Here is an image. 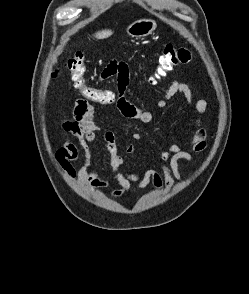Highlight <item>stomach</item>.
<instances>
[{
  "instance_id": "stomach-1",
  "label": "stomach",
  "mask_w": 249,
  "mask_h": 294,
  "mask_svg": "<svg viewBox=\"0 0 249 294\" xmlns=\"http://www.w3.org/2000/svg\"><path fill=\"white\" fill-rule=\"evenodd\" d=\"M156 26V21L153 19H140L131 23L126 28V32L135 39H141L152 34Z\"/></svg>"
}]
</instances>
